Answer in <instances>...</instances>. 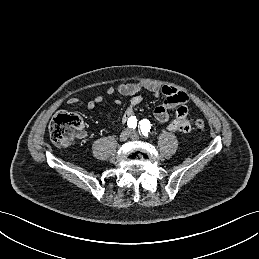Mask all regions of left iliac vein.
Listing matches in <instances>:
<instances>
[{
  "label": "left iliac vein",
  "instance_id": "4c4485c4",
  "mask_svg": "<svg viewBox=\"0 0 259 259\" xmlns=\"http://www.w3.org/2000/svg\"><path fill=\"white\" fill-rule=\"evenodd\" d=\"M130 137H131L132 139H138V138H139V135H138V133H137L135 130H132V131H131V134H130Z\"/></svg>",
  "mask_w": 259,
  "mask_h": 259
}]
</instances>
